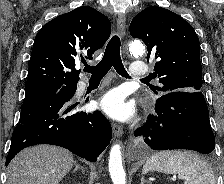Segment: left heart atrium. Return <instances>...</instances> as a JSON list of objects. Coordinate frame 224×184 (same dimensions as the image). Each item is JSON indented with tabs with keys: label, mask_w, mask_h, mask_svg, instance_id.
<instances>
[{
	"label": "left heart atrium",
	"mask_w": 224,
	"mask_h": 184,
	"mask_svg": "<svg viewBox=\"0 0 224 184\" xmlns=\"http://www.w3.org/2000/svg\"><path fill=\"white\" fill-rule=\"evenodd\" d=\"M100 107L110 117L118 120H126L133 113L132 106L124 101L119 90L108 92L100 101Z\"/></svg>",
	"instance_id": "left-heart-atrium-1"
}]
</instances>
